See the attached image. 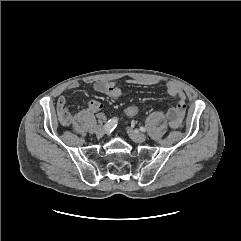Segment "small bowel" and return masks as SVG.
<instances>
[{
	"instance_id": "small-bowel-1",
	"label": "small bowel",
	"mask_w": 241,
	"mask_h": 241,
	"mask_svg": "<svg viewBox=\"0 0 241 241\" xmlns=\"http://www.w3.org/2000/svg\"><path fill=\"white\" fill-rule=\"evenodd\" d=\"M87 82H90L89 80ZM132 84H139V85H153L156 82L151 80H137L131 79L129 80ZM79 86V83L74 81L69 84L67 90L76 89ZM93 87L96 91L106 94L110 98L117 100L122 95V89L118 86L115 82L106 81V80H98L93 83ZM167 93L176 98V104L172 107L168 113L167 117L169 120V124L173 128H177L181 125L183 117L186 112V94L185 92L174 82H168L166 84ZM88 110L98 113L100 118H104L105 114L102 111L103 105L97 100H89L87 102ZM57 116L59 122L63 126H69L72 124L74 120V116L68 110L66 106V96L60 95L57 101Z\"/></svg>"
}]
</instances>
